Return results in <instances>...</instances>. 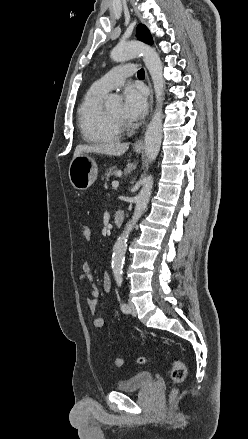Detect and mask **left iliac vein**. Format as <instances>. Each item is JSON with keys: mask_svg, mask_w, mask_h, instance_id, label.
Instances as JSON below:
<instances>
[{"mask_svg": "<svg viewBox=\"0 0 248 439\" xmlns=\"http://www.w3.org/2000/svg\"><path fill=\"white\" fill-rule=\"evenodd\" d=\"M128 305H129V312L132 315L136 316L137 315V311H136V307H135L134 303L133 302H129Z\"/></svg>", "mask_w": 248, "mask_h": 439, "instance_id": "4c4485c4", "label": "left iliac vein"}]
</instances>
